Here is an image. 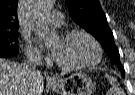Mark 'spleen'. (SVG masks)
<instances>
[{"instance_id":"spleen-1","label":"spleen","mask_w":135,"mask_h":95,"mask_svg":"<svg viewBox=\"0 0 135 95\" xmlns=\"http://www.w3.org/2000/svg\"><path fill=\"white\" fill-rule=\"evenodd\" d=\"M105 77L107 78L108 82L111 85V88L108 91L107 95H125L124 91L121 89L115 78L109 76L108 74H106Z\"/></svg>"}]
</instances>
